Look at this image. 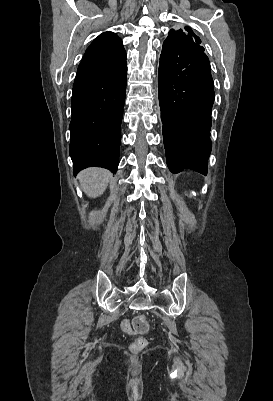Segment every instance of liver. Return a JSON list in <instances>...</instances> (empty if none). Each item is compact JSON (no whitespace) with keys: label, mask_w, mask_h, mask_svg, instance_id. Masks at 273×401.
<instances>
[{"label":"liver","mask_w":273,"mask_h":401,"mask_svg":"<svg viewBox=\"0 0 273 401\" xmlns=\"http://www.w3.org/2000/svg\"><path fill=\"white\" fill-rule=\"evenodd\" d=\"M109 176L112 174L105 168H86L80 172L79 180L84 192L95 198L104 192L107 182H109Z\"/></svg>","instance_id":"obj_1"}]
</instances>
